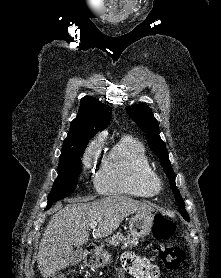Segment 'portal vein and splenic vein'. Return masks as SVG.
<instances>
[{
  "label": "portal vein and splenic vein",
  "mask_w": 221,
  "mask_h": 278,
  "mask_svg": "<svg viewBox=\"0 0 221 278\" xmlns=\"http://www.w3.org/2000/svg\"><path fill=\"white\" fill-rule=\"evenodd\" d=\"M96 226H97V222H92V223L90 224V228H91V229H95Z\"/></svg>",
  "instance_id": "1"
}]
</instances>
